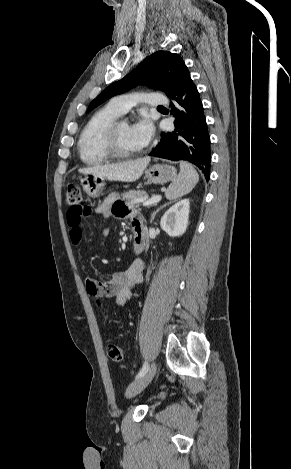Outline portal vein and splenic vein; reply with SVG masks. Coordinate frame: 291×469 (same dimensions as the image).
Listing matches in <instances>:
<instances>
[{"instance_id":"18ae733b","label":"portal vein and splenic vein","mask_w":291,"mask_h":469,"mask_svg":"<svg viewBox=\"0 0 291 469\" xmlns=\"http://www.w3.org/2000/svg\"><path fill=\"white\" fill-rule=\"evenodd\" d=\"M161 198L162 197L160 195L154 196V197L150 198L149 200L144 201L143 206H148V205H151V204L158 203V202L161 201Z\"/></svg>"}]
</instances>
